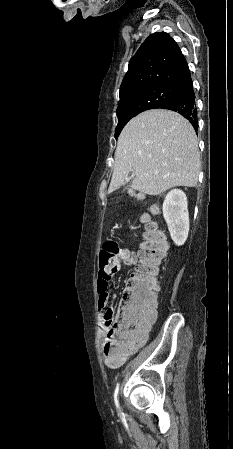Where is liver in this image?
I'll return each instance as SVG.
<instances>
[{
	"mask_svg": "<svg viewBox=\"0 0 233 449\" xmlns=\"http://www.w3.org/2000/svg\"><path fill=\"white\" fill-rule=\"evenodd\" d=\"M200 153L194 128L180 114L163 109L145 111L122 130L108 193L119 189L133 172L132 189L159 195L176 187H195Z\"/></svg>",
	"mask_w": 233,
	"mask_h": 449,
	"instance_id": "liver-1",
	"label": "liver"
}]
</instances>
